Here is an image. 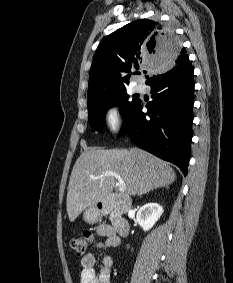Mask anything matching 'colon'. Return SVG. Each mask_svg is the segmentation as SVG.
Returning <instances> with one entry per match:
<instances>
[{
  "instance_id": "1",
  "label": "colon",
  "mask_w": 233,
  "mask_h": 283,
  "mask_svg": "<svg viewBox=\"0 0 233 283\" xmlns=\"http://www.w3.org/2000/svg\"><path fill=\"white\" fill-rule=\"evenodd\" d=\"M92 239V233L90 231H85L80 236L72 239L69 242V247L76 253L83 254L89 247L90 243L92 242Z\"/></svg>"
}]
</instances>
